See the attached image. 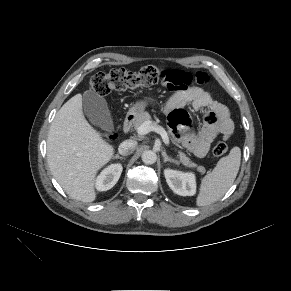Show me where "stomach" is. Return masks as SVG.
<instances>
[{"mask_svg":"<svg viewBox=\"0 0 291 291\" xmlns=\"http://www.w3.org/2000/svg\"><path fill=\"white\" fill-rule=\"evenodd\" d=\"M148 102H154V99L151 98V97H149V98H147V99H145V100H141V101L136 102V103H135V104L130 108V110H129V114L138 117L139 115H141V114L144 112V110H145V108H146Z\"/></svg>","mask_w":291,"mask_h":291,"instance_id":"obj_1","label":"stomach"}]
</instances>
